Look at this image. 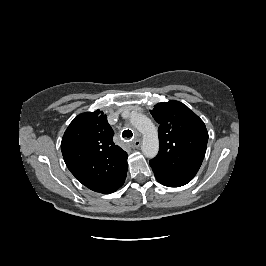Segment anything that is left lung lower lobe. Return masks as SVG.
<instances>
[{"instance_id":"0a47b994","label":"left lung lower lobe","mask_w":266,"mask_h":266,"mask_svg":"<svg viewBox=\"0 0 266 266\" xmlns=\"http://www.w3.org/2000/svg\"><path fill=\"white\" fill-rule=\"evenodd\" d=\"M161 184H163V183H161ZM163 185L168 186V187H173V186H170V185H167V184H163Z\"/></svg>"}]
</instances>
